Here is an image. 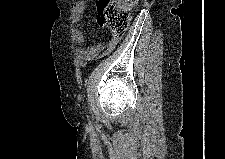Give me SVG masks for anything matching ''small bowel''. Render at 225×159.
Listing matches in <instances>:
<instances>
[{
	"instance_id": "obj_1",
	"label": "small bowel",
	"mask_w": 225,
	"mask_h": 159,
	"mask_svg": "<svg viewBox=\"0 0 225 159\" xmlns=\"http://www.w3.org/2000/svg\"><path fill=\"white\" fill-rule=\"evenodd\" d=\"M86 9V4L84 1H78L74 4L72 10V30L71 35L72 39L78 45H84L85 38L81 32V30L77 27V24L81 20ZM120 37L110 36L109 41L106 44H96L88 48L78 47L76 49L77 58L80 61L81 66H85L88 61H91L98 57L99 55H105L112 51L117 43L119 42Z\"/></svg>"
}]
</instances>
